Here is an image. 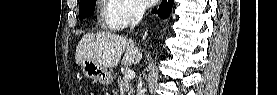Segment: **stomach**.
<instances>
[{"label":"stomach","mask_w":277,"mask_h":95,"mask_svg":"<svg viewBox=\"0 0 277 95\" xmlns=\"http://www.w3.org/2000/svg\"><path fill=\"white\" fill-rule=\"evenodd\" d=\"M79 66L86 77L101 84L108 85L113 81L111 72L93 60H81Z\"/></svg>","instance_id":"stomach-1"}]
</instances>
